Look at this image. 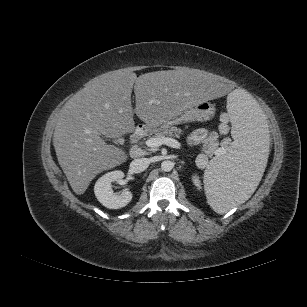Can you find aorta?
Here are the masks:
<instances>
[{
	"instance_id": "aorta-1",
	"label": "aorta",
	"mask_w": 307,
	"mask_h": 307,
	"mask_svg": "<svg viewBox=\"0 0 307 307\" xmlns=\"http://www.w3.org/2000/svg\"><path fill=\"white\" fill-rule=\"evenodd\" d=\"M174 163L169 160H165L161 163V169L165 172H169L173 169Z\"/></svg>"
}]
</instances>
